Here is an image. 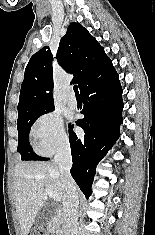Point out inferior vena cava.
Here are the masks:
<instances>
[{
    "label": "inferior vena cava",
    "instance_id": "obj_1",
    "mask_svg": "<svg viewBox=\"0 0 155 235\" xmlns=\"http://www.w3.org/2000/svg\"><path fill=\"white\" fill-rule=\"evenodd\" d=\"M54 161L60 169L61 182L64 189V233L65 235H78L79 200L77 185L70 174L72 156L69 142L60 144L54 157Z\"/></svg>",
    "mask_w": 155,
    "mask_h": 235
}]
</instances>
